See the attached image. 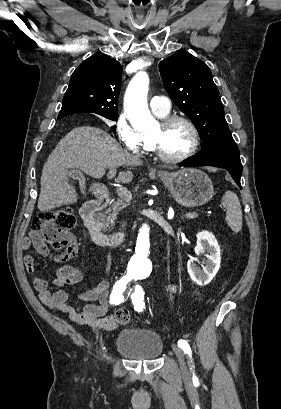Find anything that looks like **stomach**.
Wrapping results in <instances>:
<instances>
[{
  "instance_id": "1",
  "label": "stomach",
  "mask_w": 281,
  "mask_h": 409,
  "mask_svg": "<svg viewBox=\"0 0 281 409\" xmlns=\"http://www.w3.org/2000/svg\"><path fill=\"white\" fill-rule=\"evenodd\" d=\"M160 176L175 200L183 207H200L213 196L211 178L198 168H180L176 172H161ZM89 190L100 192V182H93Z\"/></svg>"
}]
</instances>
